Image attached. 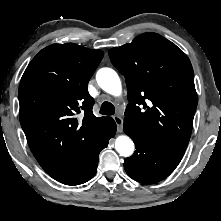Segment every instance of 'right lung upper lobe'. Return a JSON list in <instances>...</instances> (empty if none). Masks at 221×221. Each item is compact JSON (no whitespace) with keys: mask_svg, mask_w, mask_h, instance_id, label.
Returning a JSON list of instances; mask_svg holds the SVG:
<instances>
[{"mask_svg":"<svg viewBox=\"0 0 221 221\" xmlns=\"http://www.w3.org/2000/svg\"><path fill=\"white\" fill-rule=\"evenodd\" d=\"M103 51L53 44L29 63L19 86L20 123L41 167L52 174L78 157L108 117H95L88 82ZM82 113V120L76 115Z\"/></svg>","mask_w":221,"mask_h":221,"instance_id":"obj_1","label":"right lung upper lobe"}]
</instances>
